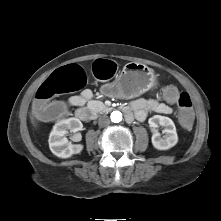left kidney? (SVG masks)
<instances>
[{"instance_id":"5707ae66","label":"left kidney","mask_w":221,"mask_h":221,"mask_svg":"<svg viewBox=\"0 0 221 221\" xmlns=\"http://www.w3.org/2000/svg\"><path fill=\"white\" fill-rule=\"evenodd\" d=\"M148 123L152 128V144L158 150H168L178 142V136L174 122L166 116L155 115L149 118ZM158 126L164 127L163 136L156 129Z\"/></svg>"}]
</instances>
